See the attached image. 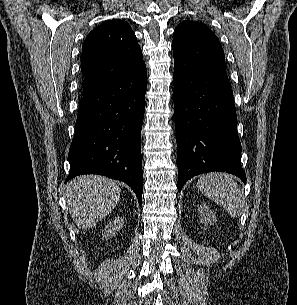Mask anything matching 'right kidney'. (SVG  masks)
Returning a JSON list of instances; mask_svg holds the SVG:
<instances>
[{
  "label": "right kidney",
  "mask_w": 297,
  "mask_h": 305,
  "mask_svg": "<svg viewBox=\"0 0 297 305\" xmlns=\"http://www.w3.org/2000/svg\"><path fill=\"white\" fill-rule=\"evenodd\" d=\"M122 226H123V219L120 218L119 216L116 217L106 226V229L104 230L103 233V238L109 239L113 237L116 234V232H118L121 229Z\"/></svg>",
  "instance_id": "right-kidney-1"
}]
</instances>
